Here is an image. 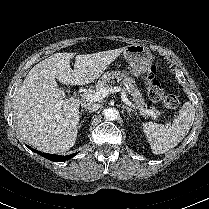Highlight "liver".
Returning <instances> with one entry per match:
<instances>
[{
    "label": "liver",
    "mask_w": 209,
    "mask_h": 209,
    "mask_svg": "<svg viewBox=\"0 0 209 209\" xmlns=\"http://www.w3.org/2000/svg\"><path fill=\"white\" fill-rule=\"evenodd\" d=\"M125 48L76 56L55 53L36 64L18 88L13 102L14 123L24 141L48 153L72 148L78 133L81 101L67 98L56 79L71 85L91 83ZM74 56L72 70L70 60Z\"/></svg>",
    "instance_id": "1"
}]
</instances>
